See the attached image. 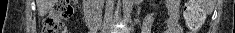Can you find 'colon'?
I'll return each mask as SVG.
<instances>
[{"label":"colon","mask_w":235,"mask_h":33,"mask_svg":"<svg viewBox=\"0 0 235 33\" xmlns=\"http://www.w3.org/2000/svg\"><path fill=\"white\" fill-rule=\"evenodd\" d=\"M73 9L69 0L57 1L44 19L42 33H69L63 20L69 18ZM183 16L188 29L195 33L204 20V12L195 0L185 3Z\"/></svg>","instance_id":"1"}]
</instances>
